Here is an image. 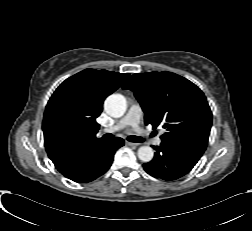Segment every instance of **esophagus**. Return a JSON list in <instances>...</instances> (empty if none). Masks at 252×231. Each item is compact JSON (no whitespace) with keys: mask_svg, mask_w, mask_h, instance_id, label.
I'll return each mask as SVG.
<instances>
[{"mask_svg":"<svg viewBox=\"0 0 252 231\" xmlns=\"http://www.w3.org/2000/svg\"><path fill=\"white\" fill-rule=\"evenodd\" d=\"M126 145L131 146V147H137L139 144L138 143H134V142L126 141Z\"/></svg>","mask_w":252,"mask_h":231,"instance_id":"esophagus-1","label":"esophagus"}]
</instances>
